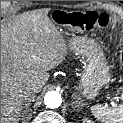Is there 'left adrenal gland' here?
<instances>
[{
    "instance_id": "obj_1",
    "label": "left adrenal gland",
    "mask_w": 123,
    "mask_h": 123,
    "mask_svg": "<svg viewBox=\"0 0 123 123\" xmlns=\"http://www.w3.org/2000/svg\"><path fill=\"white\" fill-rule=\"evenodd\" d=\"M73 99H76L75 94H73ZM79 100H80V98H77L76 101H72V103H71L72 108H75V107L80 108V107H83V106L85 105V104L82 102V100H81V101H79ZM75 104H76V106L74 107L73 105H75Z\"/></svg>"
}]
</instances>
